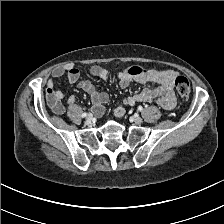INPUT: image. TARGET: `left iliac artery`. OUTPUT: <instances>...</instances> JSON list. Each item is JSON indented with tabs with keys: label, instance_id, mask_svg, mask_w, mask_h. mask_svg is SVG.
<instances>
[{
	"label": "left iliac artery",
	"instance_id": "44dca946",
	"mask_svg": "<svg viewBox=\"0 0 224 224\" xmlns=\"http://www.w3.org/2000/svg\"><path fill=\"white\" fill-rule=\"evenodd\" d=\"M138 110L141 112L143 110V107L142 106H139L138 107Z\"/></svg>",
	"mask_w": 224,
	"mask_h": 224
}]
</instances>
